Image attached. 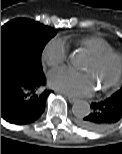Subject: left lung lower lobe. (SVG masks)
I'll use <instances>...</instances> for the list:
<instances>
[{"label": "left lung lower lobe", "instance_id": "0a47b994", "mask_svg": "<svg viewBox=\"0 0 122 154\" xmlns=\"http://www.w3.org/2000/svg\"><path fill=\"white\" fill-rule=\"evenodd\" d=\"M122 118V100L113 96L91 104L90 113L79 119L78 124L88 131H104Z\"/></svg>", "mask_w": 122, "mask_h": 154}]
</instances>
